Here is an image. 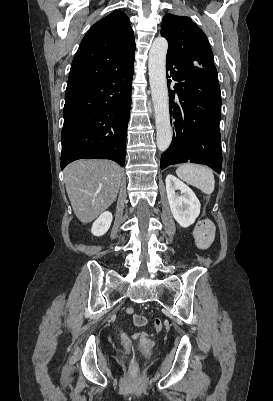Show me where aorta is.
<instances>
[{
    "label": "aorta",
    "mask_w": 273,
    "mask_h": 401,
    "mask_svg": "<svg viewBox=\"0 0 273 401\" xmlns=\"http://www.w3.org/2000/svg\"><path fill=\"white\" fill-rule=\"evenodd\" d=\"M167 50V40L163 37H157L150 49L148 62L149 82L157 131L156 143L160 151L167 150L172 141L165 67Z\"/></svg>",
    "instance_id": "obj_1"
}]
</instances>
